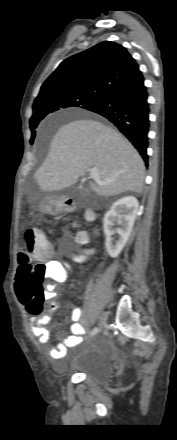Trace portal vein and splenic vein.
I'll return each instance as SVG.
<instances>
[{"mask_svg":"<svg viewBox=\"0 0 177 440\" xmlns=\"http://www.w3.org/2000/svg\"><path fill=\"white\" fill-rule=\"evenodd\" d=\"M90 177H91L92 179H94L97 183H99V184H103V182L100 180L99 173H98V170H97L96 168H92V169H91V171H90Z\"/></svg>","mask_w":177,"mask_h":440,"instance_id":"portal-vein-and-splenic-vein-1","label":"portal vein and splenic vein"}]
</instances>
